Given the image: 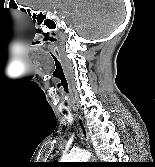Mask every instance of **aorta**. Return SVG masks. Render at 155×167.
<instances>
[{
    "mask_svg": "<svg viewBox=\"0 0 155 167\" xmlns=\"http://www.w3.org/2000/svg\"><path fill=\"white\" fill-rule=\"evenodd\" d=\"M90 157V153L86 150L71 151L67 155H63L62 162H86Z\"/></svg>",
    "mask_w": 155,
    "mask_h": 167,
    "instance_id": "obj_1",
    "label": "aorta"
}]
</instances>
